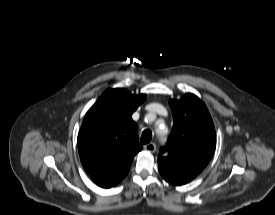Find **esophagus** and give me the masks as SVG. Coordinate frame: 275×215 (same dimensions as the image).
<instances>
[{
    "instance_id": "obj_1",
    "label": "esophagus",
    "mask_w": 275,
    "mask_h": 215,
    "mask_svg": "<svg viewBox=\"0 0 275 215\" xmlns=\"http://www.w3.org/2000/svg\"><path fill=\"white\" fill-rule=\"evenodd\" d=\"M144 149L148 152L153 153L156 151V144L155 143L146 144V145H144Z\"/></svg>"
}]
</instances>
